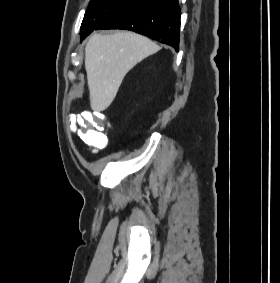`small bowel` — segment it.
Returning <instances> with one entry per match:
<instances>
[{"label":"small bowel","mask_w":280,"mask_h":283,"mask_svg":"<svg viewBox=\"0 0 280 283\" xmlns=\"http://www.w3.org/2000/svg\"><path fill=\"white\" fill-rule=\"evenodd\" d=\"M71 125L74 127L75 126V124H74V122L71 120Z\"/></svg>","instance_id":"obj_1"}]
</instances>
